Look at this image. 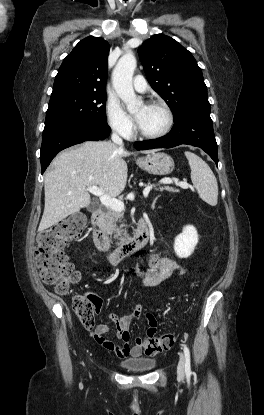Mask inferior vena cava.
<instances>
[{
    "instance_id": "obj_1",
    "label": "inferior vena cava",
    "mask_w": 264,
    "mask_h": 415,
    "mask_svg": "<svg viewBox=\"0 0 264 415\" xmlns=\"http://www.w3.org/2000/svg\"><path fill=\"white\" fill-rule=\"evenodd\" d=\"M111 139L115 144L119 145V149L123 151V141L116 132H113Z\"/></svg>"
}]
</instances>
